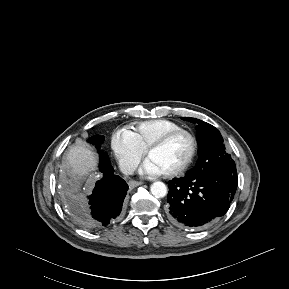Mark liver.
Masks as SVG:
<instances>
[{
    "label": "liver",
    "instance_id": "liver-1",
    "mask_svg": "<svg viewBox=\"0 0 289 289\" xmlns=\"http://www.w3.org/2000/svg\"><path fill=\"white\" fill-rule=\"evenodd\" d=\"M68 162L72 172L83 176L93 171L97 165L94 152L86 145L78 144L72 146L68 153Z\"/></svg>",
    "mask_w": 289,
    "mask_h": 289
}]
</instances>
